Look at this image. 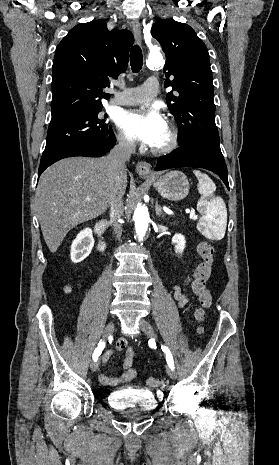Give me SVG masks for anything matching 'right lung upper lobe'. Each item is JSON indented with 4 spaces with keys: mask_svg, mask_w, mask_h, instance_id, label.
<instances>
[{
    "mask_svg": "<svg viewBox=\"0 0 279 465\" xmlns=\"http://www.w3.org/2000/svg\"><path fill=\"white\" fill-rule=\"evenodd\" d=\"M130 31H108L103 20L78 24L59 43L52 66L51 124L102 107L103 89L127 67Z\"/></svg>",
    "mask_w": 279,
    "mask_h": 465,
    "instance_id": "right-lung-upper-lobe-1",
    "label": "right lung upper lobe"
}]
</instances>
